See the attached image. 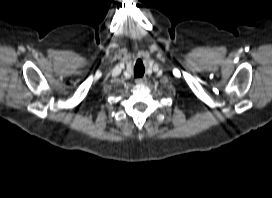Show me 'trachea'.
<instances>
[{"instance_id": "1", "label": "trachea", "mask_w": 272, "mask_h": 198, "mask_svg": "<svg viewBox=\"0 0 272 198\" xmlns=\"http://www.w3.org/2000/svg\"><path fill=\"white\" fill-rule=\"evenodd\" d=\"M143 75H144V66L142 62H137L134 69V76L137 78V77H142Z\"/></svg>"}]
</instances>
